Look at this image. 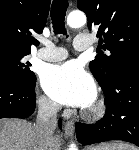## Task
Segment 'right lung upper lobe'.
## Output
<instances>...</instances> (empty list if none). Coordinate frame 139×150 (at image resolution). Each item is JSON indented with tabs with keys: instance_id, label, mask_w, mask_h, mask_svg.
<instances>
[{
	"instance_id": "cb5924a9",
	"label": "right lung upper lobe",
	"mask_w": 139,
	"mask_h": 150,
	"mask_svg": "<svg viewBox=\"0 0 139 150\" xmlns=\"http://www.w3.org/2000/svg\"><path fill=\"white\" fill-rule=\"evenodd\" d=\"M50 0H0V47L31 52L33 33H42Z\"/></svg>"
}]
</instances>
